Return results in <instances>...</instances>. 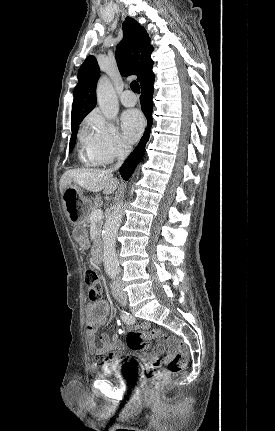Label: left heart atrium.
Instances as JSON below:
<instances>
[{
  "mask_svg": "<svg viewBox=\"0 0 275 431\" xmlns=\"http://www.w3.org/2000/svg\"><path fill=\"white\" fill-rule=\"evenodd\" d=\"M121 126L125 139L128 142H135L143 133L145 119L140 111L128 110L122 115Z\"/></svg>",
  "mask_w": 275,
  "mask_h": 431,
  "instance_id": "1",
  "label": "left heart atrium"
}]
</instances>
